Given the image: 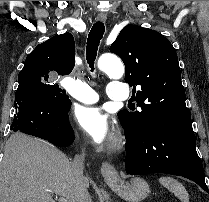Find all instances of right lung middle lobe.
Here are the masks:
<instances>
[{
  "label": "right lung middle lobe",
  "instance_id": "obj_1",
  "mask_svg": "<svg viewBox=\"0 0 209 202\" xmlns=\"http://www.w3.org/2000/svg\"><path fill=\"white\" fill-rule=\"evenodd\" d=\"M47 74H24L18 76L19 85H31L45 99L52 100L61 109L69 106V97L58 85L50 84Z\"/></svg>",
  "mask_w": 209,
  "mask_h": 202
}]
</instances>
